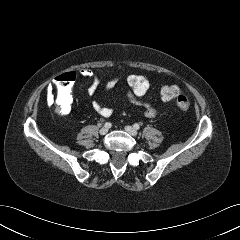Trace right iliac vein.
Returning a JSON list of instances; mask_svg holds the SVG:
<instances>
[{"mask_svg":"<svg viewBox=\"0 0 240 240\" xmlns=\"http://www.w3.org/2000/svg\"><path fill=\"white\" fill-rule=\"evenodd\" d=\"M107 132H108V128H106V127L101 128L100 131H99V133L101 135H105V134H107Z\"/></svg>","mask_w":240,"mask_h":240,"instance_id":"63e3f726","label":"right iliac vein"}]
</instances>
